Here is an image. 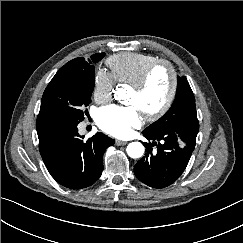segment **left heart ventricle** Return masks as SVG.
<instances>
[{
	"label": "left heart ventricle",
	"instance_id": "left-heart-ventricle-1",
	"mask_svg": "<svg viewBox=\"0 0 243 243\" xmlns=\"http://www.w3.org/2000/svg\"><path fill=\"white\" fill-rule=\"evenodd\" d=\"M170 84V73L166 66L156 67L141 90L130 87L127 101L144 112L156 106L166 95Z\"/></svg>",
	"mask_w": 243,
	"mask_h": 243
}]
</instances>
